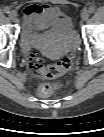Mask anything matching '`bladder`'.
Listing matches in <instances>:
<instances>
[{"mask_svg": "<svg viewBox=\"0 0 104 137\" xmlns=\"http://www.w3.org/2000/svg\"><path fill=\"white\" fill-rule=\"evenodd\" d=\"M34 43L41 54L50 59H58L75 50L79 39L70 34L69 27L53 24L40 32Z\"/></svg>", "mask_w": 104, "mask_h": 137, "instance_id": "bladder-1", "label": "bladder"}]
</instances>
